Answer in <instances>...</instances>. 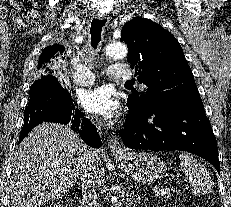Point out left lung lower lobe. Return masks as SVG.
Listing matches in <instances>:
<instances>
[{
    "label": "left lung lower lobe",
    "instance_id": "1",
    "mask_svg": "<svg viewBox=\"0 0 231 207\" xmlns=\"http://www.w3.org/2000/svg\"><path fill=\"white\" fill-rule=\"evenodd\" d=\"M120 136L132 149L188 151L220 173L216 138L202 102L166 111L129 112Z\"/></svg>",
    "mask_w": 231,
    "mask_h": 207
}]
</instances>
